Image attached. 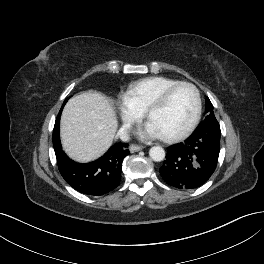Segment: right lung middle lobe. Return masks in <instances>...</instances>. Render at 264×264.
<instances>
[{
	"label": "right lung middle lobe",
	"instance_id": "1",
	"mask_svg": "<svg viewBox=\"0 0 264 264\" xmlns=\"http://www.w3.org/2000/svg\"><path fill=\"white\" fill-rule=\"evenodd\" d=\"M67 100H68V98L64 101L61 109H63V107H64L65 103L67 102Z\"/></svg>",
	"mask_w": 264,
	"mask_h": 264
}]
</instances>
